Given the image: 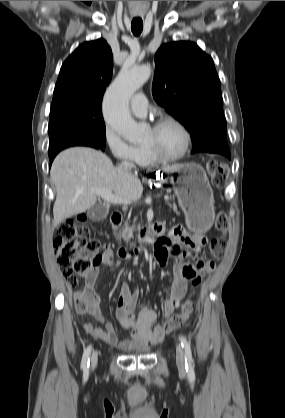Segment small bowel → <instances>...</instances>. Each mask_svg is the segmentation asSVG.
Segmentation results:
<instances>
[{
	"instance_id": "c3829d8e",
	"label": "small bowel",
	"mask_w": 285,
	"mask_h": 418,
	"mask_svg": "<svg viewBox=\"0 0 285 418\" xmlns=\"http://www.w3.org/2000/svg\"><path fill=\"white\" fill-rule=\"evenodd\" d=\"M158 241L167 249L168 256L178 259L191 257L198 261L193 265L189 261H181L173 268V289L163 305V315L168 317L177 308L188 289H195L199 286L210 266L214 264L210 261L200 262L198 257L199 249L207 243V238L200 235L189 233L165 235L161 227H156ZM194 243L190 247L189 243ZM161 267L166 266L167 258L158 262ZM120 262L113 256L110 248L102 252L95 267L90 271L82 290L72 293V301L78 315H90L96 318L101 324L97 327L91 322L84 324V330L90 335L116 346L121 350H138L146 348L148 345H157L165 338V333H160L158 329L161 325L152 328L156 319V312L148 307H142L135 313L138 302V292H132L126 283L121 285L119 298L115 307V313L123 327L132 330L131 337L119 340L116 334L115 325L108 320L100 309L101 297L94 288V282L99 275L101 266L118 267Z\"/></svg>"
}]
</instances>
